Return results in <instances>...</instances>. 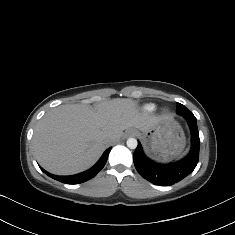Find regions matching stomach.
Here are the masks:
<instances>
[{
    "instance_id": "stomach-1",
    "label": "stomach",
    "mask_w": 235,
    "mask_h": 235,
    "mask_svg": "<svg viewBox=\"0 0 235 235\" xmlns=\"http://www.w3.org/2000/svg\"><path fill=\"white\" fill-rule=\"evenodd\" d=\"M132 129L143 142L147 152L155 155L156 160L168 162L182 155L186 138L178 122L168 119L160 121L146 131Z\"/></svg>"
}]
</instances>
